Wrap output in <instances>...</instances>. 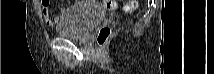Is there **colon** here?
<instances>
[{
	"mask_svg": "<svg viewBox=\"0 0 214 74\" xmlns=\"http://www.w3.org/2000/svg\"><path fill=\"white\" fill-rule=\"evenodd\" d=\"M103 5L106 9H115L117 7V2L112 1V0H106V1H103ZM124 8L126 11L132 12V11L136 10V8H137V2L129 1L126 3ZM110 34H111L110 27H108V26L102 27L99 30L98 37H97L98 44L100 46H103L107 42Z\"/></svg>",
	"mask_w": 214,
	"mask_h": 74,
	"instance_id": "1",
	"label": "colon"
}]
</instances>
